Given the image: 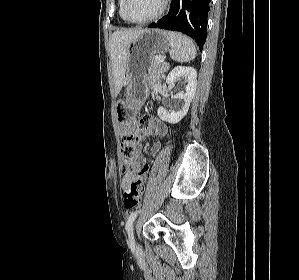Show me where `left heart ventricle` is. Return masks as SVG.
Wrapping results in <instances>:
<instances>
[{
    "label": "left heart ventricle",
    "mask_w": 299,
    "mask_h": 280,
    "mask_svg": "<svg viewBox=\"0 0 299 280\" xmlns=\"http://www.w3.org/2000/svg\"><path fill=\"white\" fill-rule=\"evenodd\" d=\"M162 0H128V14L135 20H144L154 15Z\"/></svg>",
    "instance_id": "b2bd125f"
}]
</instances>
